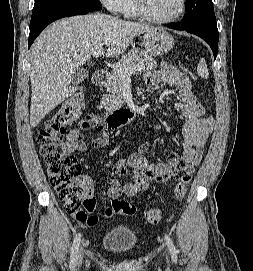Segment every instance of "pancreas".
Here are the masks:
<instances>
[{
	"label": "pancreas",
	"instance_id": "obj_1",
	"mask_svg": "<svg viewBox=\"0 0 253 271\" xmlns=\"http://www.w3.org/2000/svg\"><path fill=\"white\" fill-rule=\"evenodd\" d=\"M136 63L144 66L142 71L152 70L157 67L156 61L145 50L139 51L138 49H134L127 53L120 59L114 71H112L107 78L105 86L109 94L102 96L101 107L107 110H113L124 104L122 96L123 78L120 75V68L131 67Z\"/></svg>",
	"mask_w": 253,
	"mask_h": 271
}]
</instances>
